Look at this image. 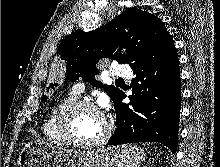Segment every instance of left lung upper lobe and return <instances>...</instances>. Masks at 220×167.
<instances>
[{
	"label": "left lung upper lobe",
	"instance_id": "5c2ea615",
	"mask_svg": "<svg viewBox=\"0 0 220 167\" xmlns=\"http://www.w3.org/2000/svg\"><path fill=\"white\" fill-rule=\"evenodd\" d=\"M118 47L126 48L128 53L118 54L115 52ZM173 49L172 36L158 17L130 8L96 30H79L68 35L61 42L57 54L67 62L65 82L82 78L93 86L104 87L115 103L122 91L112 85L103 86L101 81L95 79L99 74L96 63L100 58L116 59L120 64H129L134 68L156 61ZM56 86L57 84H51L48 89ZM46 99L43 96L41 101Z\"/></svg>",
	"mask_w": 220,
	"mask_h": 167
}]
</instances>
